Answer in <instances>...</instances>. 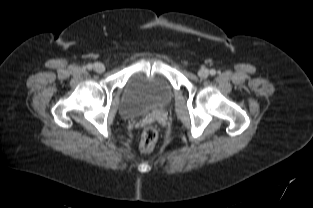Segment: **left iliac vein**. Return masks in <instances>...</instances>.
<instances>
[{"label": "left iliac vein", "instance_id": "1", "mask_svg": "<svg viewBox=\"0 0 313 208\" xmlns=\"http://www.w3.org/2000/svg\"><path fill=\"white\" fill-rule=\"evenodd\" d=\"M198 75L201 77V78H205L209 75V71L207 69H200L198 71Z\"/></svg>", "mask_w": 313, "mask_h": 208}]
</instances>
